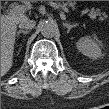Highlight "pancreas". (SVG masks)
Segmentation results:
<instances>
[{
	"instance_id": "cf45deb5",
	"label": "pancreas",
	"mask_w": 109,
	"mask_h": 109,
	"mask_svg": "<svg viewBox=\"0 0 109 109\" xmlns=\"http://www.w3.org/2000/svg\"><path fill=\"white\" fill-rule=\"evenodd\" d=\"M32 2H37V1H32ZM55 3L59 4L61 7H66L70 6L72 9H76V1H54ZM88 14L91 20H95L98 17L99 21H103L107 18L106 13L101 12L99 9H83L81 11V15Z\"/></svg>"
}]
</instances>
